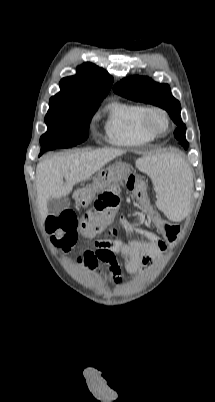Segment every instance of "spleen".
Returning <instances> with one entry per match:
<instances>
[{
    "mask_svg": "<svg viewBox=\"0 0 215 402\" xmlns=\"http://www.w3.org/2000/svg\"><path fill=\"white\" fill-rule=\"evenodd\" d=\"M137 165L150 176L160 191L155 209L163 210L172 220H184L190 212L186 196L193 194L189 178L195 177V170L189 169L181 157L174 153L139 159Z\"/></svg>",
    "mask_w": 215,
    "mask_h": 402,
    "instance_id": "spleen-1",
    "label": "spleen"
}]
</instances>
